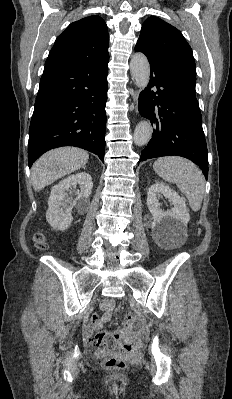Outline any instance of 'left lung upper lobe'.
<instances>
[{
	"label": "left lung upper lobe",
	"instance_id": "obj_1",
	"mask_svg": "<svg viewBox=\"0 0 232 399\" xmlns=\"http://www.w3.org/2000/svg\"><path fill=\"white\" fill-rule=\"evenodd\" d=\"M135 49L164 68L197 101L192 49L178 29L152 16L144 22Z\"/></svg>",
	"mask_w": 232,
	"mask_h": 399
}]
</instances>
